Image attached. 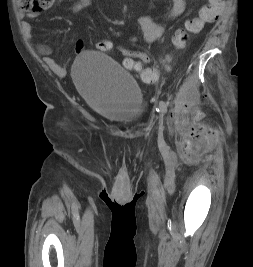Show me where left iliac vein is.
Returning <instances> with one entry per match:
<instances>
[{"mask_svg": "<svg viewBox=\"0 0 253 267\" xmlns=\"http://www.w3.org/2000/svg\"><path fill=\"white\" fill-rule=\"evenodd\" d=\"M158 142H159L160 145L164 143L163 120H160Z\"/></svg>", "mask_w": 253, "mask_h": 267, "instance_id": "left-iliac-vein-1", "label": "left iliac vein"}]
</instances>
